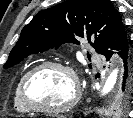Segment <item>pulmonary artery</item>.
<instances>
[{
  "instance_id": "pulmonary-artery-1",
  "label": "pulmonary artery",
  "mask_w": 133,
  "mask_h": 118,
  "mask_svg": "<svg viewBox=\"0 0 133 118\" xmlns=\"http://www.w3.org/2000/svg\"><path fill=\"white\" fill-rule=\"evenodd\" d=\"M93 59H94V61L97 62V63H100V62H101V57L98 56L97 54H94V55H93Z\"/></svg>"
}]
</instances>
